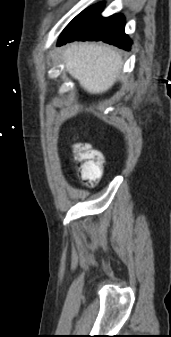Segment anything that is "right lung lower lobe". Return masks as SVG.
Segmentation results:
<instances>
[{
	"instance_id": "1",
	"label": "right lung lower lobe",
	"mask_w": 171,
	"mask_h": 337,
	"mask_svg": "<svg viewBox=\"0 0 171 337\" xmlns=\"http://www.w3.org/2000/svg\"><path fill=\"white\" fill-rule=\"evenodd\" d=\"M103 5H94L76 16L63 30L58 46L74 40H102L119 48L130 50L131 40L124 33L125 18L116 14L101 16Z\"/></svg>"
}]
</instances>
